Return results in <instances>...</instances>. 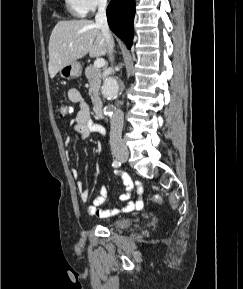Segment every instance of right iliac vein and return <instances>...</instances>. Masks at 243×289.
Returning a JSON list of instances; mask_svg holds the SVG:
<instances>
[{
    "mask_svg": "<svg viewBox=\"0 0 243 289\" xmlns=\"http://www.w3.org/2000/svg\"><path fill=\"white\" fill-rule=\"evenodd\" d=\"M115 157L121 162H126L128 160L129 154H128V151L122 150V151L116 152Z\"/></svg>",
    "mask_w": 243,
    "mask_h": 289,
    "instance_id": "right-iliac-vein-1",
    "label": "right iliac vein"
}]
</instances>
